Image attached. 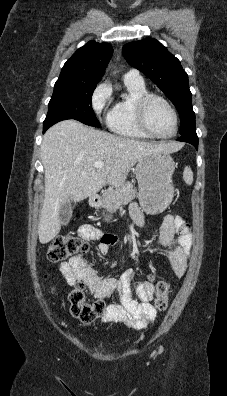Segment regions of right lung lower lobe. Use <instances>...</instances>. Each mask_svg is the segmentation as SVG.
<instances>
[{"instance_id": "98d812e1", "label": "right lung lower lobe", "mask_w": 227, "mask_h": 396, "mask_svg": "<svg viewBox=\"0 0 227 396\" xmlns=\"http://www.w3.org/2000/svg\"><path fill=\"white\" fill-rule=\"evenodd\" d=\"M59 121H61V120H53V121H48V122L44 121L43 133H44L49 127H51L52 125H54L55 123H57V122H59Z\"/></svg>"}]
</instances>
